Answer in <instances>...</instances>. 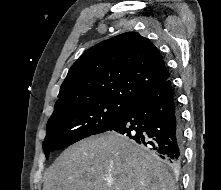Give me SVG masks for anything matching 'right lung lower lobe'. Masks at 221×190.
<instances>
[{
  "label": "right lung lower lobe",
  "mask_w": 221,
  "mask_h": 190,
  "mask_svg": "<svg viewBox=\"0 0 221 190\" xmlns=\"http://www.w3.org/2000/svg\"><path fill=\"white\" fill-rule=\"evenodd\" d=\"M115 131L143 144L177 167L183 159V130L178 101L170 79L131 101Z\"/></svg>",
  "instance_id": "1"
}]
</instances>
